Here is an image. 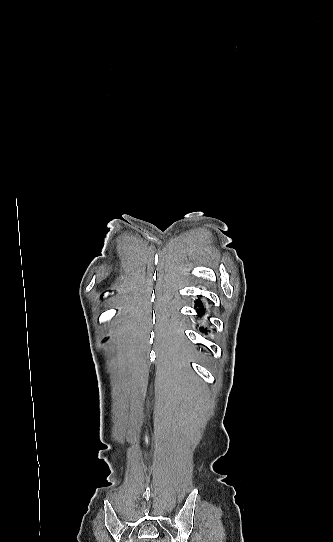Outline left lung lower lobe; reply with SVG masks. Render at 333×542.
<instances>
[{
	"label": "left lung lower lobe",
	"instance_id": "left-lung-lower-lobe-1",
	"mask_svg": "<svg viewBox=\"0 0 333 542\" xmlns=\"http://www.w3.org/2000/svg\"><path fill=\"white\" fill-rule=\"evenodd\" d=\"M197 304L201 305V303H200L198 300H197ZM201 312L203 313L204 310H203V309H199V311H198L199 315L201 314ZM201 331H203V329H201Z\"/></svg>",
	"mask_w": 333,
	"mask_h": 542
}]
</instances>
